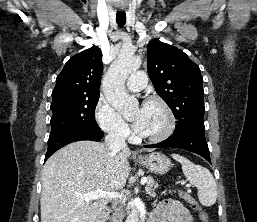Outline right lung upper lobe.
Here are the masks:
<instances>
[{
	"label": "right lung upper lobe",
	"mask_w": 257,
	"mask_h": 222,
	"mask_svg": "<svg viewBox=\"0 0 257 222\" xmlns=\"http://www.w3.org/2000/svg\"><path fill=\"white\" fill-rule=\"evenodd\" d=\"M101 59L102 52L97 46L71 57L56 78L53 101L99 95L103 70Z\"/></svg>",
	"instance_id": "right-lung-upper-lobe-1"
}]
</instances>
